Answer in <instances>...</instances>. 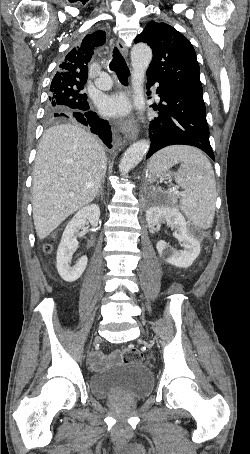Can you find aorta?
<instances>
[{"instance_id": "762f6f07", "label": "aorta", "mask_w": 250, "mask_h": 454, "mask_svg": "<svg viewBox=\"0 0 250 454\" xmlns=\"http://www.w3.org/2000/svg\"><path fill=\"white\" fill-rule=\"evenodd\" d=\"M152 60V50L144 43H138L131 50L133 103L141 115L145 110L144 78ZM143 119V118H142ZM150 141L143 139L132 144L124 153L119 164L120 173L124 176L134 168L146 155Z\"/></svg>"}]
</instances>
